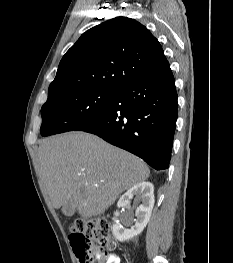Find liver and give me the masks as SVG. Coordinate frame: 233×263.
Here are the masks:
<instances>
[{
  "mask_svg": "<svg viewBox=\"0 0 233 263\" xmlns=\"http://www.w3.org/2000/svg\"><path fill=\"white\" fill-rule=\"evenodd\" d=\"M38 160L52 206L71 202L84 218L103 214L122 192L150 174L138 157L85 132L43 140Z\"/></svg>",
  "mask_w": 233,
  "mask_h": 263,
  "instance_id": "liver-1",
  "label": "liver"
}]
</instances>
